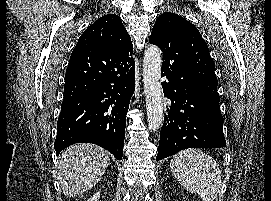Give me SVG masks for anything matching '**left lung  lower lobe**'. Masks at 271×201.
Listing matches in <instances>:
<instances>
[{"instance_id":"0a47b994","label":"left lung lower lobe","mask_w":271,"mask_h":201,"mask_svg":"<svg viewBox=\"0 0 271 201\" xmlns=\"http://www.w3.org/2000/svg\"><path fill=\"white\" fill-rule=\"evenodd\" d=\"M164 96L171 100L160 132L159 161L186 148L225 147L219 105L200 88L188 69L181 44L163 49Z\"/></svg>"}]
</instances>
